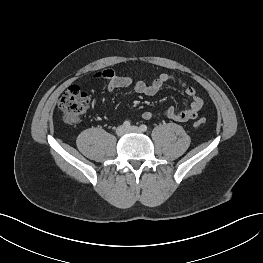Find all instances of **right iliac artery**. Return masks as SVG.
I'll return each mask as SVG.
<instances>
[{"instance_id":"1","label":"right iliac artery","mask_w":263,"mask_h":263,"mask_svg":"<svg viewBox=\"0 0 263 263\" xmlns=\"http://www.w3.org/2000/svg\"><path fill=\"white\" fill-rule=\"evenodd\" d=\"M123 126H124L125 128H129V127L131 126L130 121H128V120L124 121Z\"/></svg>"}]
</instances>
